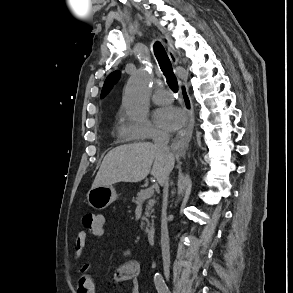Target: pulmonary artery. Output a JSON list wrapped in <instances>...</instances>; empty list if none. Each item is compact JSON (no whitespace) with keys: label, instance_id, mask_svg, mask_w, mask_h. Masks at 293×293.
Segmentation results:
<instances>
[{"label":"pulmonary artery","instance_id":"1","mask_svg":"<svg viewBox=\"0 0 293 293\" xmlns=\"http://www.w3.org/2000/svg\"><path fill=\"white\" fill-rule=\"evenodd\" d=\"M156 104H168L173 100V94L166 89H158L152 96Z\"/></svg>","mask_w":293,"mask_h":293}]
</instances>
